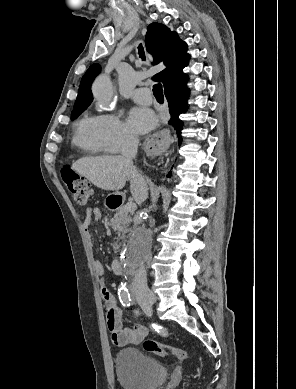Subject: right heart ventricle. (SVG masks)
I'll return each mask as SVG.
<instances>
[{
  "label": "right heart ventricle",
  "instance_id": "1",
  "mask_svg": "<svg viewBox=\"0 0 296 389\" xmlns=\"http://www.w3.org/2000/svg\"><path fill=\"white\" fill-rule=\"evenodd\" d=\"M73 143L89 153H104L99 116H84L76 124Z\"/></svg>",
  "mask_w": 296,
  "mask_h": 389
}]
</instances>
